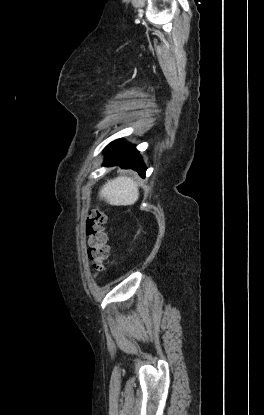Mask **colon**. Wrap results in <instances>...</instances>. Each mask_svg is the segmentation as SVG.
<instances>
[{
    "label": "colon",
    "mask_w": 264,
    "mask_h": 415,
    "mask_svg": "<svg viewBox=\"0 0 264 415\" xmlns=\"http://www.w3.org/2000/svg\"><path fill=\"white\" fill-rule=\"evenodd\" d=\"M108 213L103 210H92L85 223V234L88 238L87 256L95 275L104 271V262L108 258L106 225Z\"/></svg>",
    "instance_id": "1"
}]
</instances>
